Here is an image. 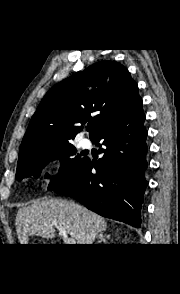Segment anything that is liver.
Returning <instances> with one entry per match:
<instances>
[{
  "instance_id": "6515ba94",
  "label": "liver",
  "mask_w": 180,
  "mask_h": 294,
  "mask_svg": "<svg viewBox=\"0 0 180 294\" xmlns=\"http://www.w3.org/2000/svg\"><path fill=\"white\" fill-rule=\"evenodd\" d=\"M59 222L77 244H92L107 222L96 213L63 199L42 200L18 210L15 225L20 244H28L29 236L55 237L52 222Z\"/></svg>"
}]
</instances>
